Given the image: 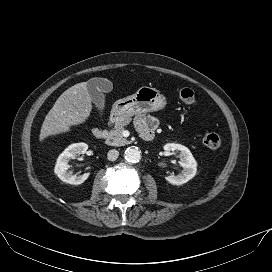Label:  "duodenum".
<instances>
[{
  "mask_svg": "<svg viewBox=\"0 0 272 272\" xmlns=\"http://www.w3.org/2000/svg\"><path fill=\"white\" fill-rule=\"evenodd\" d=\"M117 119V115H114L108 122L109 125H112ZM93 136L96 139H104L107 136V130L105 128H95L93 130ZM154 136L153 132H149L146 136V140H151Z\"/></svg>",
  "mask_w": 272,
  "mask_h": 272,
  "instance_id": "410a0bca",
  "label": "duodenum"
}]
</instances>
